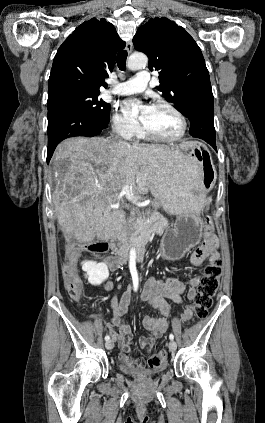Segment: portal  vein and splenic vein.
Wrapping results in <instances>:
<instances>
[{
	"mask_svg": "<svg viewBox=\"0 0 265 423\" xmlns=\"http://www.w3.org/2000/svg\"><path fill=\"white\" fill-rule=\"evenodd\" d=\"M125 197L129 202L139 205V199L131 193V185H125L119 193V198Z\"/></svg>",
	"mask_w": 265,
	"mask_h": 423,
	"instance_id": "1",
	"label": "portal vein and splenic vein"
}]
</instances>
